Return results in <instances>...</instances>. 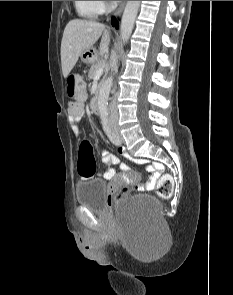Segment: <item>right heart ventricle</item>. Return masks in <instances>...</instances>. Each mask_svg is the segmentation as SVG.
<instances>
[{"instance_id": "obj_1", "label": "right heart ventricle", "mask_w": 233, "mask_h": 295, "mask_svg": "<svg viewBox=\"0 0 233 295\" xmlns=\"http://www.w3.org/2000/svg\"><path fill=\"white\" fill-rule=\"evenodd\" d=\"M79 16L94 19L102 12L99 1H74Z\"/></svg>"}]
</instances>
